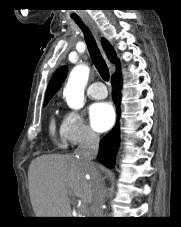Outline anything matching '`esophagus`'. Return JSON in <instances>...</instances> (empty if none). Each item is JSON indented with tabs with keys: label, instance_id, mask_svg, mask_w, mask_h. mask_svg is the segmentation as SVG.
Segmentation results:
<instances>
[{
	"label": "esophagus",
	"instance_id": "34e87169",
	"mask_svg": "<svg viewBox=\"0 0 181 227\" xmlns=\"http://www.w3.org/2000/svg\"><path fill=\"white\" fill-rule=\"evenodd\" d=\"M87 25L93 30V32L96 34V30H95V26L90 23V22H87Z\"/></svg>",
	"mask_w": 181,
	"mask_h": 227
}]
</instances>
